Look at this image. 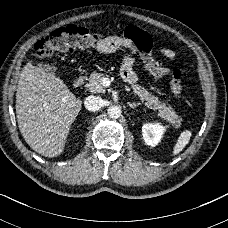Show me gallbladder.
<instances>
[{"instance_id": "bac80fb5", "label": "gallbladder", "mask_w": 228, "mask_h": 228, "mask_svg": "<svg viewBox=\"0 0 228 228\" xmlns=\"http://www.w3.org/2000/svg\"><path fill=\"white\" fill-rule=\"evenodd\" d=\"M43 67L45 68L46 71H49V72H55L57 70V67L49 64L43 65Z\"/></svg>"}]
</instances>
